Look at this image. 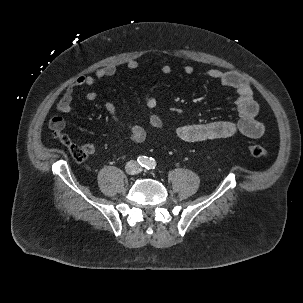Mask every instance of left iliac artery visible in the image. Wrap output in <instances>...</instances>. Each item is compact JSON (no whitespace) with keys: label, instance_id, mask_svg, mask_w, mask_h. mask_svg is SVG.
Returning <instances> with one entry per match:
<instances>
[{"label":"left iliac artery","instance_id":"left-iliac-artery-1","mask_svg":"<svg viewBox=\"0 0 303 303\" xmlns=\"http://www.w3.org/2000/svg\"><path fill=\"white\" fill-rule=\"evenodd\" d=\"M147 169H154L156 167V162L153 158H150L147 163Z\"/></svg>","mask_w":303,"mask_h":303}]
</instances>
